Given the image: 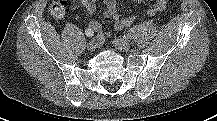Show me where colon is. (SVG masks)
<instances>
[{"label":"colon","mask_w":217,"mask_h":121,"mask_svg":"<svg viewBox=\"0 0 217 121\" xmlns=\"http://www.w3.org/2000/svg\"><path fill=\"white\" fill-rule=\"evenodd\" d=\"M66 9V0H55L49 6V13L54 18L63 17Z\"/></svg>","instance_id":"colon-1"}]
</instances>
